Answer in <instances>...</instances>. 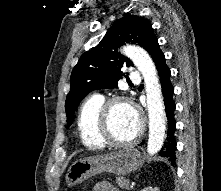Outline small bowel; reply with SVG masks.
I'll return each mask as SVG.
<instances>
[{"mask_svg": "<svg viewBox=\"0 0 221 191\" xmlns=\"http://www.w3.org/2000/svg\"><path fill=\"white\" fill-rule=\"evenodd\" d=\"M94 191H116L114 185L108 181H102L96 185Z\"/></svg>", "mask_w": 221, "mask_h": 191, "instance_id": "1", "label": "small bowel"}]
</instances>
